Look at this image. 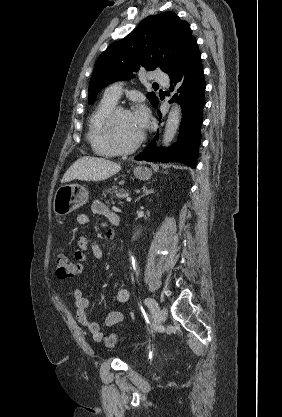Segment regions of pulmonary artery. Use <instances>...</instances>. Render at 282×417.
I'll list each match as a JSON object with an SVG mask.
<instances>
[{"mask_svg": "<svg viewBox=\"0 0 282 417\" xmlns=\"http://www.w3.org/2000/svg\"><path fill=\"white\" fill-rule=\"evenodd\" d=\"M153 82L154 83H167L168 82V75L167 74H154L153 75ZM123 83L118 82L110 85L104 93V97L111 101L117 102L121 96V89Z\"/></svg>", "mask_w": 282, "mask_h": 417, "instance_id": "1", "label": "pulmonary artery"}]
</instances>
